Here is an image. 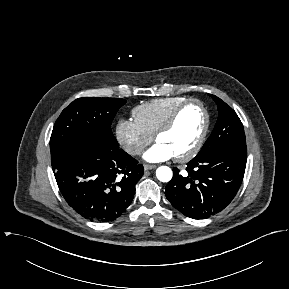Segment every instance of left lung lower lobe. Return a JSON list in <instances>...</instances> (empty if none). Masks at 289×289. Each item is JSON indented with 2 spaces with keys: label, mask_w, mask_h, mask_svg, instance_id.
Wrapping results in <instances>:
<instances>
[{
  "label": "left lung lower lobe",
  "mask_w": 289,
  "mask_h": 289,
  "mask_svg": "<svg viewBox=\"0 0 289 289\" xmlns=\"http://www.w3.org/2000/svg\"><path fill=\"white\" fill-rule=\"evenodd\" d=\"M247 149L229 146L187 163L188 174L173 168L165 195L172 206L192 219H205L227 207L242 183Z\"/></svg>",
  "instance_id": "obj_1"
}]
</instances>
